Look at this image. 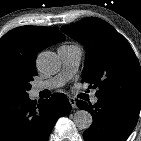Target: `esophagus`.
Returning <instances> with one entry per match:
<instances>
[{"label": "esophagus", "instance_id": "obj_1", "mask_svg": "<svg viewBox=\"0 0 141 141\" xmlns=\"http://www.w3.org/2000/svg\"><path fill=\"white\" fill-rule=\"evenodd\" d=\"M69 103L72 106V108H77L76 100L74 98H69Z\"/></svg>", "mask_w": 141, "mask_h": 141}]
</instances>
